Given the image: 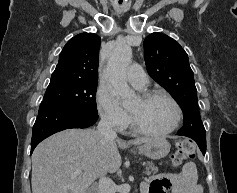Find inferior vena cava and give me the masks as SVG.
Wrapping results in <instances>:
<instances>
[{
	"mask_svg": "<svg viewBox=\"0 0 237 193\" xmlns=\"http://www.w3.org/2000/svg\"><path fill=\"white\" fill-rule=\"evenodd\" d=\"M97 132L100 137L102 138H111L114 139L117 137L116 132L113 130L111 122L102 117L97 126ZM99 193H115L116 192V185L115 183L105 176H100L99 179Z\"/></svg>",
	"mask_w": 237,
	"mask_h": 193,
	"instance_id": "602c4592",
	"label": "inferior vena cava"
}]
</instances>
